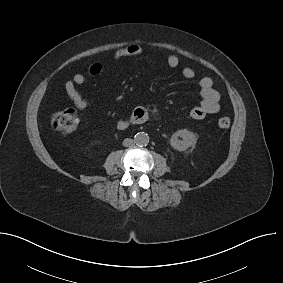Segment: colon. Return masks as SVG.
<instances>
[{
  "label": "colon",
  "mask_w": 283,
  "mask_h": 283,
  "mask_svg": "<svg viewBox=\"0 0 283 283\" xmlns=\"http://www.w3.org/2000/svg\"><path fill=\"white\" fill-rule=\"evenodd\" d=\"M79 116L72 108L63 109L53 113L51 116L52 127L62 133L70 134L74 132L79 124ZM231 125V119L227 116H222L218 119V126L222 129H227Z\"/></svg>",
  "instance_id": "obj_1"
}]
</instances>
